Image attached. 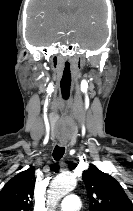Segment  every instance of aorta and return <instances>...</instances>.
I'll list each match as a JSON object with an SVG mask.
<instances>
[{"label":"aorta","instance_id":"1","mask_svg":"<svg viewBox=\"0 0 133 211\" xmlns=\"http://www.w3.org/2000/svg\"><path fill=\"white\" fill-rule=\"evenodd\" d=\"M77 181L72 176H59L50 185L48 202L49 211H55V207L62 197L75 189Z\"/></svg>","mask_w":133,"mask_h":211}]
</instances>
